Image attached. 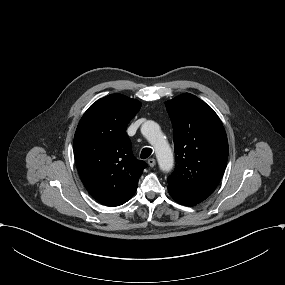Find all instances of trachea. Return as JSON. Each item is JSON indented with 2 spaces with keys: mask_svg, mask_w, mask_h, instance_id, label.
<instances>
[{
  "mask_svg": "<svg viewBox=\"0 0 285 285\" xmlns=\"http://www.w3.org/2000/svg\"><path fill=\"white\" fill-rule=\"evenodd\" d=\"M152 153V149L151 148H144L141 151V159H146L148 158Z\"/></svg>",
  "mask_w": 285,
  "mask_h": 285,
  "instance_id": "trachea-1",
  "label": "trachea"
}]
</instances>
